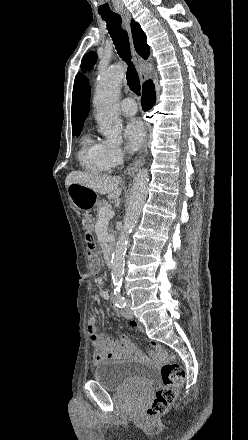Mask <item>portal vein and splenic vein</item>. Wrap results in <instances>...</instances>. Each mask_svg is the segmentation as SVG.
<instances>
[{
  "label": "portal vein and splenic vein",
  "mask_w": 248,
  "mask_h": 440,
  "mask_svg": "<svg viewBox=\"0 0 248 440\" xmlns=\"http://www.w3.org/2000/svg\"><path fill=\"white\" fill-rule=\"evenodd\" d=\"M114 215H115V213L111 209H103L101 211V215H100L99 219L108 221L111 218H113Z\"/></svg>",
  "instance_id": "18ae733b"
}]
</instances>
